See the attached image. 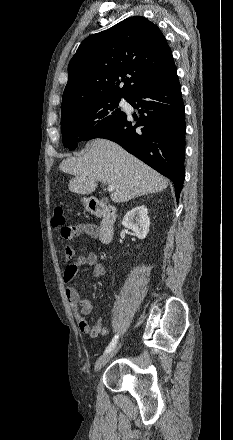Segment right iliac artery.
Instances as JSON below:
<instances>
[{
  "mask_svg": "<svg viewBox=\"0 0 233 440\" xmlns=\"http://www.w3.org/2000/svg\"><path fill=\"white\" fill-rule=\"evenodd\" d=\"M118 337H119L118 335H115V336H114V338L112 339V341L110 342V344H109L108 347L106 348L105 353H108V352H110L111 350L114 349V347H115L116 344H117Z\"/></svg>",
  "mask_w": 233,
  "mask_h": 440,
  "instance_id": "right-iliac-artery-1",
  "label": "right iliac artery"
}]
</instances>
